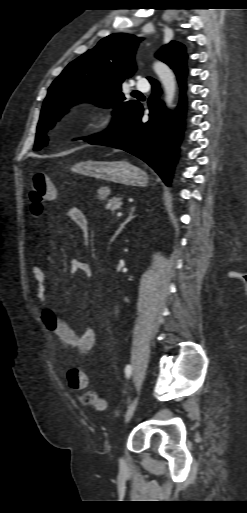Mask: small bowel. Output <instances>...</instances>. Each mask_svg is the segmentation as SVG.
Instances as JSON below:
<instances>
[{"label":"small bowel","mask_w":247,"mask_h":513,"mask_svg":"<svg viewBox=\"0 0 247 513\" xmlns=\"http://www.w3.org/2000/svg\"><path fill=\"white\" fill-rule=\"evenodd\" d=\"M67 217L84 237L88 236V221L79 208L71 207L67 211ZM71 270L74 273H82L87 278H90L92 275L90 266L86 262L77 259L72 260ZM30 276L33 282L31 292L42 304L40 318L45 327L56 335L68 351L78 355L88 354L96 343L94 329L85 327L80 332H77L69 322L59 317V310L52 307L49 301V290L52 286L49 283V277L45 269L40 266H32L30 268Z\"/></svg>","instance_id":"small-bowel-1"}]
</instances>
